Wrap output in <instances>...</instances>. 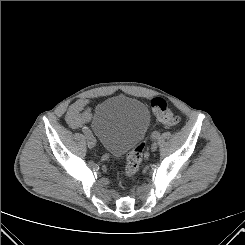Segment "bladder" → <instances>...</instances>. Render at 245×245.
Masks as SVG:
<instances>
[{
    "label": "bladder",
    "mask_w": 245,
    "mask_h": 245,
    "mask_svg": "<svg viewBox=\"0 0 245 245\" xmlns=\"http://www.w3.org/2000/svg\"><path fill=\"white\" fill-rule=\"evenodd\" d=\"M149 123V111L142 102L126 96H115L96 107L91 128L104 148L118 156L144 138Z\"/></svg>",
    "instance_id": "obj_1"
}]
</instances>
